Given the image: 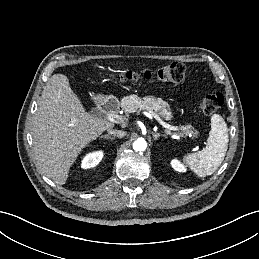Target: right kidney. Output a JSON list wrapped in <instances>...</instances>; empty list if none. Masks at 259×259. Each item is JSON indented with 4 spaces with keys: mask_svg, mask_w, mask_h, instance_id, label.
<instances>
[{
    "mask_svg": "<svg viewBox=\"0 0 259 259\" xmlns=\"http://www.w3.org/2000/svg\"><path fill=\"white\" fill-rule=\"evenodd\" d=\"M102 158H103L102 151H95L92 153H88L83 157L81 161V168L83 169L93 168L99 164Z\"/></svg>",
    "mask_w": 259,
    "mask_h": 259,
    "instance_id": "ca27d5eb",
    "label": "right kidney"
}]
</instances>
